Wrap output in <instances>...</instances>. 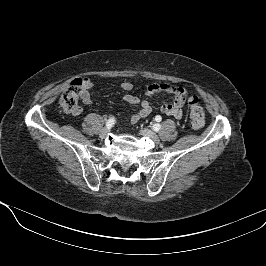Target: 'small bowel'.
Returning a JSON list of instances; mask_svg holds the SVG:
<instances>
[{
  "instance_id": "c3829d8e",
  "label": "small bowel",
  "mask_w": 266,
  "mask_h": 266,
  "mask_svg": "<svg viewBox=\"0 0 266 266\" xmlns=\"http://www.w3.org/2000/svg\"><path fill=\"white\" fill-rule=\"evenodd\" d=\"M93 88V83L89 78L82 79V85L80 90V98L82 102L86 105L92 103L91 90ZM133 85L130 82L121 83V89L124 91H131ZM145 93L147 96L153 97L159 94H167L171 96L170 100H165L161 106V111L169 116H172L176 119L183 117V108L186 102L187 92L183 87L165 84V83H153L147 85L145 88ZM123 100L129 105H137L140 103V100L131 94H126L123 97ZM152 111L151 104L148 101H142L140 104V109L132 114L129 118V122L134 124L140 119L148 116ZM82 112L81 107L72 112L73 115L77 116Z\"/></svg>"
}]
</instances>
